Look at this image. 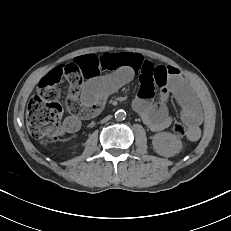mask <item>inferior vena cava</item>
Listing matches in <instances>:
<instances>
[{
	"label": "inferior vena cava",
	"instance_id": "inferior-vena-cava-1",
	"mask_svg": "<svg viewBox=\"0 0 231 231\" xmlns=\"http://www.w3.org/2000/svg\"><path fill=\"white\" fill-rule=\"evenodd\" d=\"M111 118V116H107V117H105L104 119H103V121H107V120H109Z\"/></svg>",
	"mask_w": 231,
	"mask_h": 231
}]
</instances>
